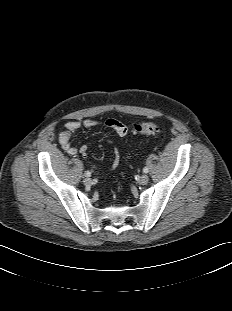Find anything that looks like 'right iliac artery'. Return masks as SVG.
I'll return each instance as SVG.
<instances>
[{
	"instance_id": "82829eb1",
	"label": "right iliac artery",
	"mask_w": 232,
	"mask_h": 311,
	"mask_svg": "<svg viewBox=\"0 0 232 311\" xmlns=\"http://www.w3.org/2000/svg\"><path fill=\"white\" fill-rule=\"evenodd\" d=\"M85 176H87V177L91 176V172L86 171V172H85Z\"/></svg>"
}]
</instances>
